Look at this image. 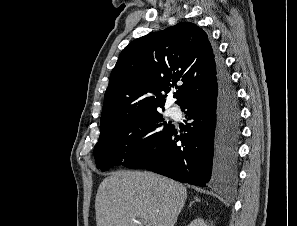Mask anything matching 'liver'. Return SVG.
Instances as JSON below:
<instances>
[{"label":"liver","mask_w":297,"mask_h":226,"mask_svg":"<svg viewBox=\"0 0 297 226\" xmlns=\"http://www.w3.org/2000/svg\"><path fill=\"white\" fill-rule=\"evenodd\" d=\"M187 199L181 183L151 172L115 171L100 184L97 226H174Z\"/></svg>","instance_id":"6515ba94"}]
</instances>
